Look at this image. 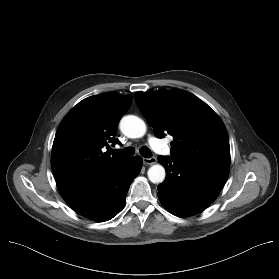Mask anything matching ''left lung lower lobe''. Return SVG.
<instances>
[{"label": "left lung lower lobe", "mask_w": 279, "mask_h": 279, "mask_svg": "<svg viewBox=\"0 0 279 279\" xmlns=\"http://www.w3.org/2000/svg\"><path fill=\"white\" fill-rule=\"evenodd\" d=\"M166 178L158 186L162 204L174 215L191 216L207 208L223 188L229 168L159 156Z\"/></svg>", "instance_id": "0a47b994"}]
</instances>
